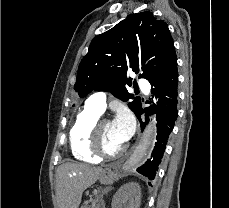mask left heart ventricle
I'll return each instance as SVG.
<instances>
[{"label":"left heart ventricle","mask_w":229,"mask_h":208,"mask_svg":"<svg viewBox=\"0 0 229 208\" xmlns=\"http://www.w3.org/2000/svg\"><path fill=\"white\" fill-rule=\"evenodd\" d=\"M100 132L104 137V139H102V144H104L103 152H115L116 149H119L124 145V142L115 134L112 123L102 124Z\"/></svg>","instance_id":"obj_1"}]
</instances>
